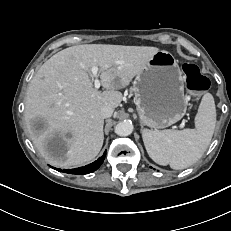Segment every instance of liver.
<instances>
[{"label": "liver", "mask_w": 231, "mask_h": 231, "mask_svg": "<svg viewBox=\"0 0 231 231\" xmlns=\"http://www.w3.org/2000/svg\"><path fill=\"white\" fill-rule=\"evenodd\" d=\"M159 51L156 47L84 44L66 48L47 60L31 80L25 98V122L40 155L56 167H70L94 159L102 148L103 106L116 108L119 91L129 85ZM100 69L101 85L93 87L91 69ZM38 118L47 127L32 128ZM61 140L65 150L54 154L49 144Z\"/></svg>", "instance_id": "liver-1"}]
</instances>
